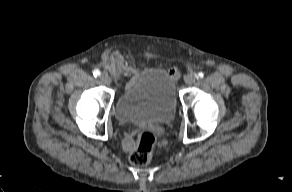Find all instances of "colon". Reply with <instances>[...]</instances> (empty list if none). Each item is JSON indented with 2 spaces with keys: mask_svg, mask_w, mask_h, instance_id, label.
I'll return each instance as SVG.
<instances>
[{
  "mask_svg": "<svg viewBox=\"0 0 292 192\" xmlns=\"http://www.w3.org/2000/svg\"><path fill=\"white\" fill-rule=\"evenodd\" d=\"M157 139L150 129H141L137 135L136 148L130 154V162L135 166L148 164L153 156L152 140Z\"/></svg>",
  "mask_w": 292,
  "mask_h": 192,
  "instance_id": "colon-1",
  "label": "colon"
}]
</instances>
